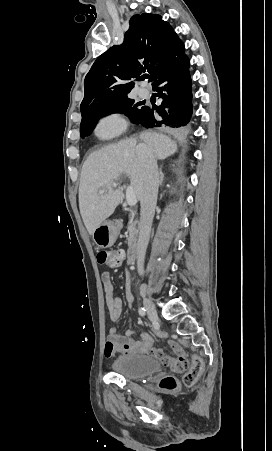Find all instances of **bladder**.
<instances>
[{
    "label": "bladder",
    "instance_id": "bladder-1",
    "mask_svg": "<svg viewBox=\"0 0 272 451\" xmlns=\"http://www.w3.org/2000/svg\"><path fill=\"white\" fill-rule=\"evenodd\" d=\"M161 363L156 358L144 354H126L114 358L111 361V371L116 376H121L130 381H140L146 377L158 373Z\"/></svg>",
    "mask_w": 272,
    "mask_h": 451
}]
</instances>
